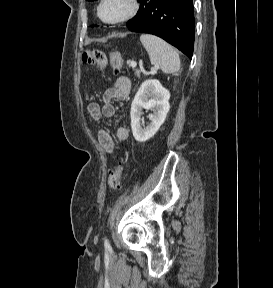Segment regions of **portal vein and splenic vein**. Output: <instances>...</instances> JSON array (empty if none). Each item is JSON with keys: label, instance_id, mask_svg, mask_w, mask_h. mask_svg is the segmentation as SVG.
<instances>
[{"label": "portal vein and splenic vein", "instance_id": "portal-vein-and-splenic-vein-1", "mask_svg": "<svg viewBox=\"0 0 273 288\" xmlns=\"http://www.w3.org/2000/svg\"><path fill=\"white\" fill-rule=\"evenodd\" d=\"M130 66H131L132 68H135V67L137 66V63H136L135 61H132L131 64H130ZM158 69H159V66L155 65V66L151 69V73H155L156 70H158Z\"/></svg>", "mask_w": 273, "mask_h": 288}]
</instances>
